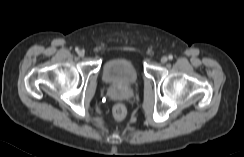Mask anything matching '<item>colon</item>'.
Here are the masks:
<instances>
[{
	"label": "colon",
	"instance_id": "obj_1",
	"mask_svg": "<svg viewBox=\"0 0 244 157\" xmlns=\"http://www.w3.org/2000/svg\"><path fill=\"white\" fill-rule=\"evenodd\" d=\"M127 110L124 104L117 103L113 107V116L116 120H123L126 116Z\"/></svg>",
	"mask_w": 244,
	"mask_h": 157
}]
</instances>
